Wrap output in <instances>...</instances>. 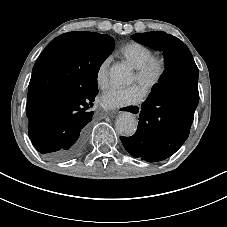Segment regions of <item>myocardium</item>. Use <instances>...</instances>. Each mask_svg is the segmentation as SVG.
<instances>
[{"instance_id": "1", "label": "myocardium", "mask_w": 227, "mask_h": 227, "mask_svg": "<svg viewBox=\"0 0 227 227\" xmlns=\"http://www.w3.org/2000/svg\"><path fill=\"white\" fill-rule=\"evenodd\" d=\"M167 73V61L162 56H152L136 70V80L148 90L158 87Z\"/></svg>"}]
</instances>
